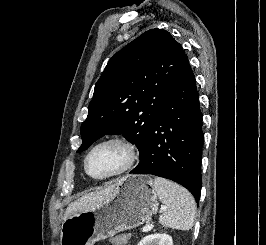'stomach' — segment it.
<instances>
[{
    "label": "stomach",
    "instance_id": "stomach-1",
    "mask_svg": "<svg viewBox=\"0 0 266 245\" xmlns=\"http://www.w3.org/2000/svg\"><path fill=\"white\" fill-rule=\"evenodd\" d=\"M115 183L118 187L109 203L64 221L61 245H94L120 231L136 229L155 213L158 201L151 177L125 175Z\"/></svg>",
    "mask_w": 266,
    "mask_h": 245
}]
</instances>
